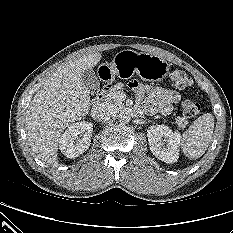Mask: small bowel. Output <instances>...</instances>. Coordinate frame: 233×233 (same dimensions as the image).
I'll list each match as a JSON object with an SVG mask.
<instances>
[{
	"label": "small bowel",
	"mask_w": 233,
	"mask_h": 233,
	"mask_svg": "<svg viewBox=\"0 0 233 233\" xmlns=\"http://www.w3.org/2000/svg\"><path fill=\"white\" fill-rule=\"evenodd\" d=\"M130 86L136 93L138 107L147 112L158 111L168 115L173 110V104L181 100V94L175 90L143 85L137 81L131 82Z\"/></svg>",
	"instance_id": "1"
}]
</instances>
